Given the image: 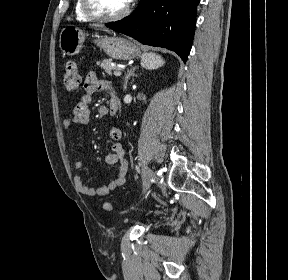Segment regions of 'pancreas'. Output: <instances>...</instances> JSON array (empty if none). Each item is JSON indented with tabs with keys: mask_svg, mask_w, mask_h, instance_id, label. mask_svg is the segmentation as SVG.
<instances>
[{
	"mask_svg": "<svg viewBox=\"0 0 288 280\" xmlns=\"http://www.w3.org/2000/svg\"><path fill=\"white\" fill-rule=\"evenodd\" d=\"M97 64H100L101 68L108 74H111V70L119 68V64L112 62L111 59H104L102 62H97Z\"/></svg>",
	"mask_w": 288,
	"mask_h": 280,
	"instance_id": "pancreas-1",
	"label": "pancreas"
}]
</instances>
